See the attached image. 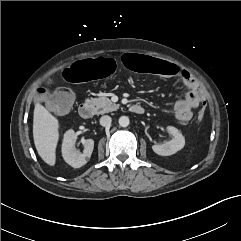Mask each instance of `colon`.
Wrapping results in <instances>:
<instances>
[{
  "label": "colon",
  "instance_id": "obj_1",
  "mask_svg": "<svg viewBox=\"0 0 241 241\" xmlns=\"http://www.w3.org/2000/svg\"><path fill=\"white\" fill-rule=\"evenodd\" d=\"M123 65L135 71L151 74L156 77H175L181 70L175 64L161 62L160 58L152 55H125ZM119 68L117 59L108 53L100 54L64 66L60 71L61 78L73 86H80L88 81H100L114 76ZM73 102V94L67 89H59L46 98L48 106L57 111L68 109ZM205 116V108L199 111L198 120Z\"/></svg>",
  "mask_w": 241,
  "mask_h": 241
}]
</instances>
